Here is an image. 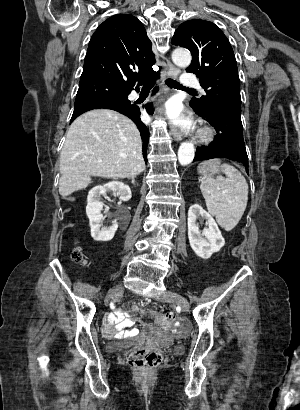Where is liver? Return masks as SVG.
<instances>
[{
  "label": "liver",
  "mask_w": 300,
  "mask_h": 410,
  "mask_svg": "<svg viewBox=\"0 0 300 410\" xmlns=\"http://www.w3.org/2000/svg\"><path fill=\"white\" fill-rule=\"evenodd\" d=\"M59 166V193L63 197L86 188L92 176H136L145 169L140 133L120 113L108 109L88 111L69 127Z\"/></svg>",
  "instance_id": "1"
}]
</instances>
